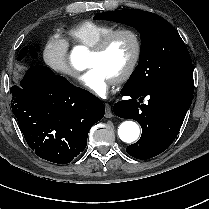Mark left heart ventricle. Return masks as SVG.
<instances>
[{"instance_id": "obj_1", "label": "left heart ventricle", "mask_w": 209, "mask_h": 209, "mask_svg": "<svg viewBox=\"0 0 209 209\" xmlns=\"http://www.w3.org/2000/svg\"><path fill=\"white\" fill-rule=\"evenodd\" d=\"M133 52V40L128 35H119L104 54L89 53L88 67H98L109 77L117 79L130 62Z\"/></svg>"}]
</instances>
